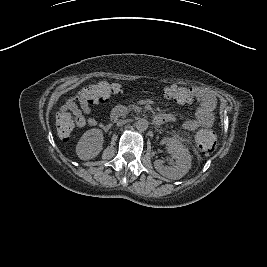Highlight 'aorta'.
Listing matches in <instances>:
<instances>
[{"instance_id": "762f6f07", "label": "aorta", "mask_w": 267, "mask_h": 267, "mask_svg": "<svg viewBox=\"0 0 267 267\" xmlns=\"http://www.w3.org/2000/svg\"><path fill=\"white\" fill-rule=\"evenodd\" d=\"M135 127L138 131L143 132L148 128V121L146 119L141 118L136 121Z\"/></svg>"}]
</instances>
